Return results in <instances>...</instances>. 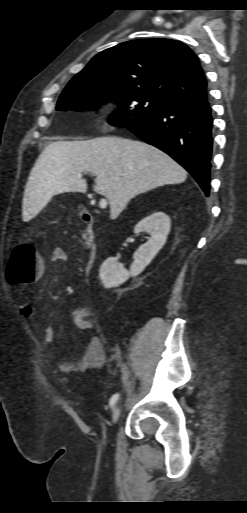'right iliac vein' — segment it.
Masks as SVG:
<instances>
[{"instance_id": "right-iliac-vein-1", "label": "right iliac vein", "mask_w": 247, "mask_h": 513, "mask_svg": "<svg viewBox=\"0 0 247 513\" xmlns=\"http://www.w3.org/2000/svg\"><path fill=\"white\" fill-rule=\"evenodd\" d=\"M120 414H121V406H120V404L114 405V407H113V416H112L113 424H115L118 421Z\"/></svg>"}]
</instances>
